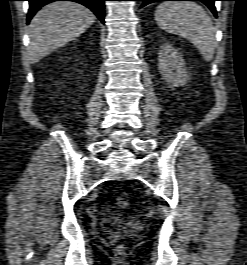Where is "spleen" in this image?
<instances>
[{
    "mask_svg": "<svg viewBox=\"0 0 247 265\" xmlns=\"http://www.w3.org/2000/svg\"><path fill=\"white\" fill-rule=\"evenodd\" d=\"M158 26L193 43L206 61H211L216 48L215 29L211 18L197 3L167 1L155 11Z\"/></svg>",
    "mask_w": 247,
    "mask_h": 265,
    "instance_id": "3e777b00",
    "label": "spleen"
}]
</instances>
